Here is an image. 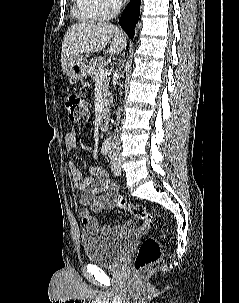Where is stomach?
Listing matches in <instances>:
<instances>
[{"mask_svg": "<svg viewBox=\"0 0 239 303\" xmlns=\"http://www.w3.org/2000/svg\"><path fill=\"white\" fill-rule=\"evenodd\" d=\"M87 60L83 56L74 58L67 64L66 74L73 81H82L87 78Z\"/></svg>", "mask_w": 239, "mask_h": 303, "instance_id": "stomach-1", "label": "stomach"}]
</instances>
